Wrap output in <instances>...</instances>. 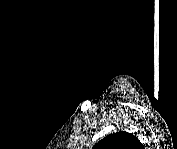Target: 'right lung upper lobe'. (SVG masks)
<instances>
[{"instance_id": "right-lung-upper-lobe-1", "label": "right lung upper lobe", "mask_w": 177, "mask_h": 149, "mask_svg": "<svg viewBox=\"0 0 177 149\" xmlns=\"http://www.w3.org/2000/svg\"><path fill=\"white\" fill-rule=\"evenodd\" d=\"M141 146L140 141L131 133L120 131L106 136L94 146V149H138Z\"/></svg>"}]
</instances>
